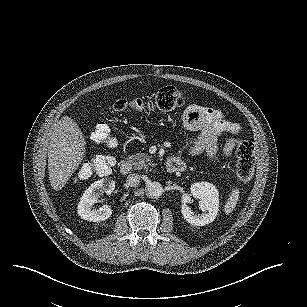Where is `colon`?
<instances>
[{
	"instance_id": "obj_1",
	"label": "colon",
	"mask_w": 307,
	"mask_h": 307,
	"mask_svg": "<svg viewBox=\"0 0 307 307\" xmlns=\"http://www.w3.org/2000/svg\"><path fill=\"white\" fill-rule=\"evenodd\" d=\"M184 104L182 92L174 86H166L159 89L153 98L118 99L114 103V109L124 111L135 110H162L169 111L181 107ZM91 141L110 147L117 145V138L106 124H99L92 131ZM237 157V177L243 184H248L254 175V146L251 142L238 140L235 143ZM115 165L112 156L97 155L86 159L79 167L77 175L79 178H89L93 175H106Z\"/></svg>"
}]
</instances>
